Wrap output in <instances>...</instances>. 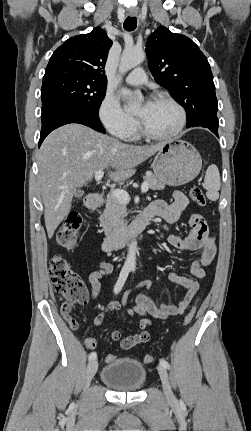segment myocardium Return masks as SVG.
I'll return each instance as SVG.
<instances>
[{
    "instance_id": "1",
    "label": "myocardium",
    "mask_w": 251,
    "mask_h": 431,
    "mask_svg": "<svg viewBox=\"0 0 251 431\" xmlns=\"http://www.w3.org/2000/svg\"><path fill=\"white\" fill-rule=\"evenodd\" d=\"M153 101H165V102H168L171 105H173L179 113L178 124L169 133L156 134V133L149 131L144 126L142 121L137 117V125H138V129H139L140 134L142 136L148 138V139H151V140H170V139L175 138L176 136H178L182 132V130L186 124L187 115H186V111H185L184 107L176 99H174L172 96L165 94V93L156 94L153 97Z\"/></svg>"
}]
</instances>
